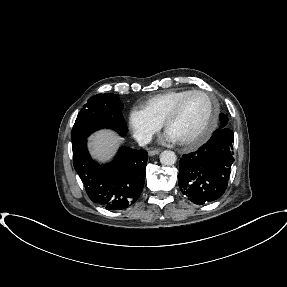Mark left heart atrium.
<instances>
[{
	"label": "left heart atrium",
	"instance_id": "obj_1",
	"mask_svg": "<svg viewBox=\"0 0 287 287\" xmlns=\"http://www.w3.org/2000/svg\"><path fill=\"white\" fill-rule=\"evenodd\" d=\"M164 140L167 142H174L175 140L169 135V134H165L164 135Z\"/></svg>",
	"mask_w": 287,
	"mask_h": 287
}]
</instances>
